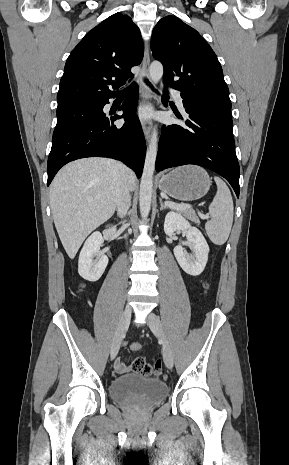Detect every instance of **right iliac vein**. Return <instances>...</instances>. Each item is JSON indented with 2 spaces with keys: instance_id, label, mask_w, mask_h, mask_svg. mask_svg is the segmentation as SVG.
Listing matches in <instances>:
<instances>
[{
  "instance_id": "right-iliac-vein-1",
  "label": "right iliac vein",
  "mask_w": 289,
  "mask_h": 465,
  "mask_svg": "<svg viewBox=\"0 0 289 465\" xmlns=\"http://www.w3.org/2000/svg\"><path fill=\"white\" fill-rule=\"evenodd\" d=\"M131 313H132L131 308L129 306H126V308L124 309L121 315V318L118 323V327H117V330H116V333H115V336L112 342L111 351H110V355L112 359L116 357L120 349L121 341L130 323Z\"/></svg>"
}]
</instances>
